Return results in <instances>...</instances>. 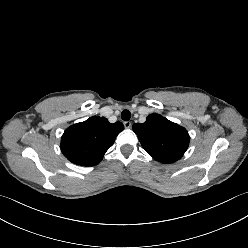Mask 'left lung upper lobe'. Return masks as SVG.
Returning <instances> with one entry per match:
<instances>
[{
	"label": "left lung upper lobe",
	"instance_id": "left-lung-upper-lobe-1",
	"mask_svg": "<svg viewBox=\"0 0 248 248\" xmlns=\"http://www.w3.org/2000/svg\"><path fill=\"white\" fill-rule=\"evenodd\" d=\"M140 143L155 160L173 163L186 152L190 137L184 127L159 114H151L144 123L133 125Z\"/></svg>",
	"mask_w": 248,
	"mask_h": 248
}]
</instances>
